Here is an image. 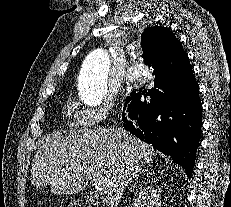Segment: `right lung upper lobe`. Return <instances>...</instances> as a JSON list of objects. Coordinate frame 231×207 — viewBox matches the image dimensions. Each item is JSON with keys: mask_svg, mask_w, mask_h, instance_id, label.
<instances>
[{"mask_svg": "<svg viewBox=\"0 0 231 207\" xmlns=\"http://www.w3.org/2000/svg\"><path fill=\"white\" fill-rule=\"evenodd\" d=\"M144 62L155 69H182L189 64L181 42L166 27L155 26L153 32L141 40Z\"/></svg>", "mask_w": 231, "mask_h": 207, "instance_id": "cb5924a9", "label": "right lung upper lobe"}]
</instances>
